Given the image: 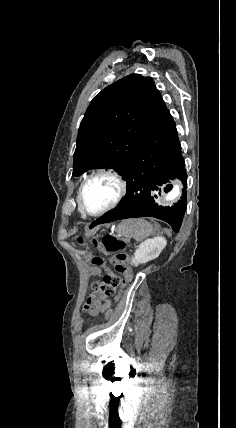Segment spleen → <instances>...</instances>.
<instances>
[{
	"mask_svg": "<svg viewBox=\"0 0 236 428\" xmlns=\"http://www.w3.org/2000/svg\"><path fill=\"white\" fill-rule=\"evenodd\" d=\"M117 232L121 236H125V238H134L137 242H142V240L151 236L152 226L144 218H130V220L121 222Z\"/></svg>",
	"mask_w": 236,
	"mask_h": 428,
	"instance_id": "1",
	"label": "spleen"
}]
</instances>
